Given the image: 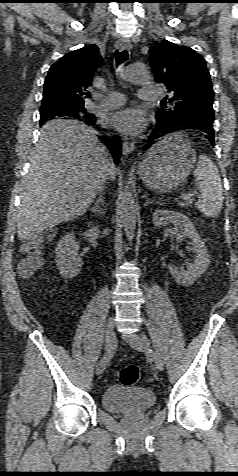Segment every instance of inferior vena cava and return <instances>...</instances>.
<instances>
[{
    "label": "inferior vena cava",
    "mask_w": 238,
    "mask_h": 476,
    "mask_svg": "<svg viewBox=\"0 0 238 476\" xmlns=\"http://www.w3.org/2000/svg\"><path fill=\"white\" fill-rule=\"evenodd\" d=\"M113 166H114V164L112 163V164L110 165L109 172L111 171V169L113 168ZM101 190H103V188H102Z\"/></svg>",
    "instance_id": "602c4592"
}]
</instances>
